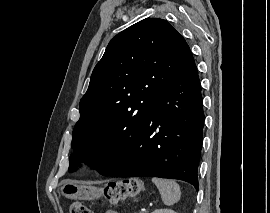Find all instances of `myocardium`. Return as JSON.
Wrapping results in <instances>:
<instances>
[{"mask_svg": "<svg viewBox=\"0 0 270 213\" xmlns=\"http://www.w3.org/2000/svg\"><path fill=\"white\" fill-rule=\"evenodd\" d=\"M108 144V138L105 136H100L93 141L91 150L94 153H100L108 146Z\"/></svg>", "mask_w": 270, "mask_h": 213, "instance_id": "myocardium-1", "label": "myocardium"}]
</instances>
